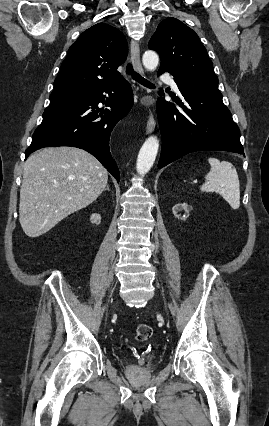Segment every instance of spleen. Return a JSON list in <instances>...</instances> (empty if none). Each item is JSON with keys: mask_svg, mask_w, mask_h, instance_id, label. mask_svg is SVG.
<instances>
[{"mask_svg": "<svg viewBox=\"0 0 269 426\" xmlns=\"http://www.w3.org/2000/svg\"><path fill=\"white\" fill-rule=\"evenodd\" d=\"M211 168L205 176V184L200 187L203 192L219 193L233 209L240 206V184L235 167L228 161L210 157Z\"/></svg>", "mask_w": 269, "mask_h": 426, "instance_id": "spleen-1", "label": "spleen"}]
</instances>
